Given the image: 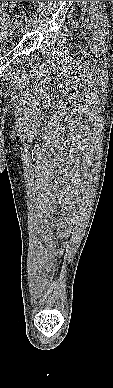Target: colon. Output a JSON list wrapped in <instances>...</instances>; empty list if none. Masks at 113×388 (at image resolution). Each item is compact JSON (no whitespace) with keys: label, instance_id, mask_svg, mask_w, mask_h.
<instances>
[{"label":"colon","instance_id":"1","mask_svg":"<svg viewBox=\"0 0 113 388\" xmlns=\"http://www.w3.org/2000/svg\"><path fill=\"white\" fill-rule=\"evenodd\" d=\"M0 4L3 5L4 2H1V1H0ZM18 20H19V17H17V18L14 19V21H18Z\"/></svg>","mask_w":113,"mask_h":388}]
</instances>
